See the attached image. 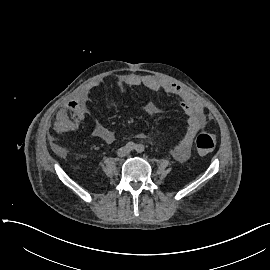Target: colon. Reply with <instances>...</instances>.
Segmentation results:
<instances>
[{
    "label": "colon",
    "mask_w": 270,
    "mask_h": 270,
    "mask_svg": "<svg viewBox=\"0 0 270 270\" xmlns=\"http://www.w3.org/2000/svg\"><path fill=\"white\" fill-rule=\"evenodd\" d=\"M216 146V138L211 133L201 134L196 138V148L201 155L211 153Z\"/></svg>",
    "instance_id": "colon-1"
}]
</instances>
